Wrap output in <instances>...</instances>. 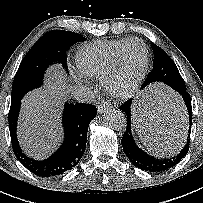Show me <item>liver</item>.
<instances>
[{
  "label": "liver",
  "instance_id": "6515ba94",
  "mask_svg": "<svg viewBox=\"0 0 203 203\" xmlns=\"http://www.w3.org/2000/svg\"><path fill=\"white\" fill-rule=\"evenodd\" d=\"M62 73L58 67L49 69L47 88L29 93L22 103L18 137L26 153L36 159L46 157L60 139L59 108L61 100L73 90L62 87ZM169 104L167 110L155 109L152 102L135 108L134 124L141 139L156 153H163L180 137L186 136L187 117L183 108Z\"/></svg>",
  "mask_w": 203,
  "mask_h": 203
}]
</instances>
